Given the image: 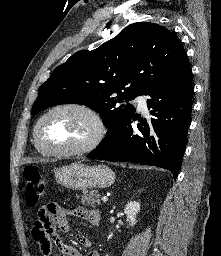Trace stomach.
<instances>
[{
    "instance_id": "stomach-1",
    "label": "stomach",
    "mask_w": 221,
    "mask_h": 256,
    "mask_svg": "<svg viewBox=\"0 0 221 256\" xmlns=\"http://www.w3.org/2000/svg\"><path fill=\"white\" fill-rule=\"evenodd\" d=\"M54 176L58 184L82 191L94 188L104 189L115 181V173L109 167L87 166L80 162L58 168Z\"/></svg>"
}]
</instances>
